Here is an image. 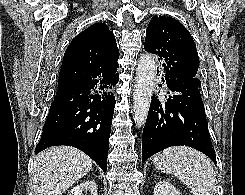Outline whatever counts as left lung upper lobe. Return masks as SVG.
Returning <instances> with one entry per match:
<instances>
[{
  "mask_svg": "<svg viewBox=\"0 0 245 195\" xmlns=\"http://www.w3.org/2000/svg\"><path fill=\"white\" fill-rule=\"evenodd\" d=\"M144 49L159 56L170 80L200 87L196 74L199 58L188 30L168 16H154L149 22Z\"/></svg>",
  "mask_w": 245,
  "mask_h": 195,
  "instance_id": "left-lung-upper-lobe-1",
  "label": "left lung upper lobe"
}]
</instances>
